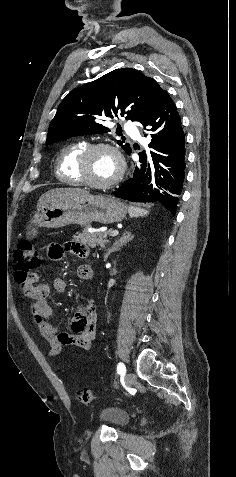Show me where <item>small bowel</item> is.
<instances>
[{
  "label": "small bowel",
  "instance_id": "small-bowel-1",
  "mask_svg": "<svg viewBox=\"0 0 236 477\" xmlns=\"http://www.w3.org/2000/svg\"><path fill=\"white\" fill-rule=\"evenodd\" d=\"M67 254H74L86 261L78 268V277L88 281L93 278V269L87 261L90 258L89 249L79 243H68L63 246L52 243L48 246V257L52 261H60ZM51 287L57 294L66 291L67 284L60 277L53 278ZM48 284L36 282L32 291L23 290L24 294L32 299L30 305L31 316L41 334L49 343V356L55 357L64 347H77L88 350L92 347L96 335V311L94 302L86 299L78 304L76 313L71 321L70 331H61L54 321L53 313L47 303L50 293Z\"/></svg>",
  "mask_w": 236,
  "mask_h": 477
}]
</instances>
